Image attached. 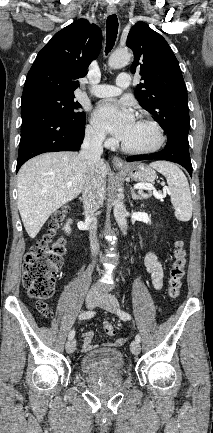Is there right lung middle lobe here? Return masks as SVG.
<instances>
[{
    "instance_id": "obj_1",
    "label": "right lung middle lobe",
    "mask_w": 213,
    "mask_h": 433,
    "mask_svg": "<svg viewBox=\"0 0 213 433\" xmlns=\"http://www.w3.org/2000/svg\"><path fill=\"white\" fill-rule=\"evenodd\" d=\"M74 95L53 92H37L22 96L21 106H38L50 110L76 126L85 123V113L77 111L81 105L74 101Z\"/></svg>"
}]
</instances>
